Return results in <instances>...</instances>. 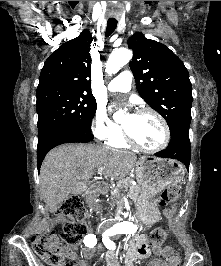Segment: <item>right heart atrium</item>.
I'll list each match as a JSON object with an SVG mask.
<instances>
[{"label": "right heart atrium", "mask_w": 221, "mask_h": 266, "mask_svg": "<svg viewBox=\"0 0 221 266\" xmlns=\"http://www.w3.org/2000/svg\"><path fill=\"white\" fill-rule=\"evenodd\" d=\"M91 130L94 137L102 141H109L122 132L121 127L114 123L100 106L96 108L93 115Z\"/></svg>", "instance_id": "right-heart-atrium-1"}]
</instances>
